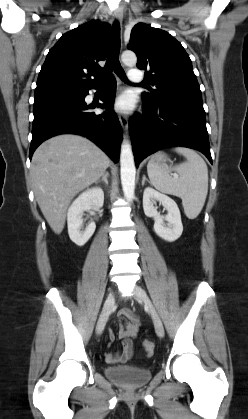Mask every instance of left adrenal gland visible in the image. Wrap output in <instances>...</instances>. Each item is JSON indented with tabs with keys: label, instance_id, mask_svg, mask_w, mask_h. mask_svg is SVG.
Wrapping results in <instances>:
<instances>
[{
	"label": "left adrenal gland",
	"instance_id": "a2214340",
	"mask_svg": "<svg viewBox=\"0 0 248 419\" xmlns=\"http://www.w3.org/2000/svg\"><path fill=\"white\" fill-rule=\"evenodd\" d=\"M145 181H147V182H148V180H147L146 176L144 175V176H143V179H142V186H144Z\"/></svg>",
	"mask_w": 248,
	"mask_h": 419
}]
</instances>
